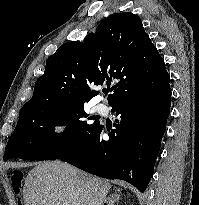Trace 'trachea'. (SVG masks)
<instances>
[{
    "mask_svg": "<svg viewBox=\"0 0 199 205\" xmlns=\"http://www.w3.org/2000/svg\"><path fill=\"white\" fill-rule=\"evenodd\" d=\"M104 93H105V94H108V91H105Z\"/></svg>",
    "mask_w": 199,
    "mask_h": 205,
    "instance_id": "obj_1",
    "label": "trachea"
}]
</instances>
